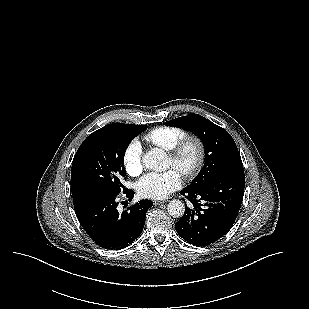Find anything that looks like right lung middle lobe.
<instances>
[{
  "mask_svg": "<svg viewBox=\"0 0 309 309\" xmlns=\"http://www.w3.org/2000/svg\"><path fill=\"white\" fill-rule=\"evenodd\" d=\"M146 125L109 124L90 134L74 156L71 168L73 196L124 192V154Z\"/></svg>",
  "mask_w": 309,
  "mask_h": 309,
  "instance_id": "1",
  "label": "right lung middle lobe"
}]
</instances>
